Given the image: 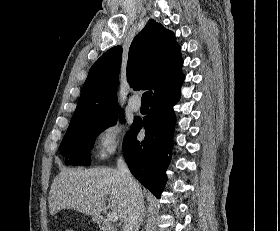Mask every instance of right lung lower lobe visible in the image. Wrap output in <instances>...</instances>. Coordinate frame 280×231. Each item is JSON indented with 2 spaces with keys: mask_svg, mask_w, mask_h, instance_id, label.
Masks as SVG:
<instances>
[{
  "mask_svg": "<svg viewBox=\"0 0 280 231\" xmlns=\"http://www.w3.org/2000/svg\"><path fill=\"white\" fill-rule=\"evenodd\" d=\"M180 86L170 93L152 99L151 109L143 118L146 129L143 141L137 134L142 124L133 123L125 137L123 153L132 174L157 198L166 182L165 171L171 153L175 115L173 106L179 101Z\"/></svg>",
  "mask_w": 280,
  "mask_h": 231,
  "instance_id": "obj_1",
  "label": "right lung lower lobe"
}]
</instances>
